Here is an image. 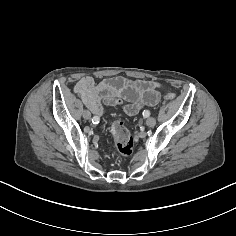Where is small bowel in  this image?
<instances>
[{
    "label": "small bowel",
    "mask_w": 236,
    "mask_h": 236,
    "mask_svg": "<svg viewBox=\"0 0 236 236\" xmlns=\"http://www.w3.org/2000/svg\"><path fill=\"white\" fill-rule=\"evenodd\" d=\"M158 83L145 80H127L122 77L106 79L98 84L91 76H84L75 85V92L97 117L104 112L100 98L113 95L128 100L124 111L136 114L144 105H154L159 100Z\"/></svg>",
    "instance_id": "obj_1"
}]
</instances>
